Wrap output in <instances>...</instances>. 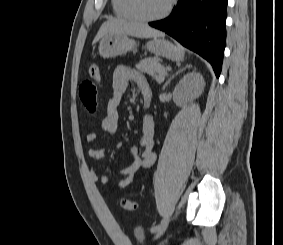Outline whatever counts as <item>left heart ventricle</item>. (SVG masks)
I'll return each instance as SVG.
<instances>
[{
    "mask_svg": "<svg viewBox=\"0 0 283 245\" xmlns=\"http://www.w3.org/2000/svg\"><path fill=\"white\" fill-rule=\"evenodd\" d=\"M169 0H137L138 10L145 16H154L161 13Z\"/></svg>",
    "mask_w": 283,
    "mask_h": 245,
    "instance_id": "1",
    "label": "left heart ventricle"
}]
</instances>
